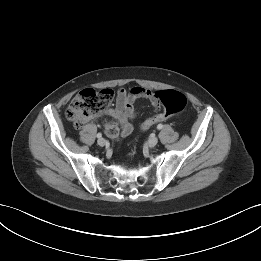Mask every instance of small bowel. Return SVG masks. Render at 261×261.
Wrapping results in <instances>:
<instances>
[{
  "mask_svg": "<svg viewBox=\"0 0 261 261\" xmlns=\"http://www.w3.org/2000/svg\"><path fill=\"white\" fill-rule=\"evenodd\" d=\"M140 98L148 99L156 108L160 105L157 93L151 90L142 87H133L128 91L125 89L118 90L115 107L109 109L106 113L120 123L119 135L125 137L132 133L131 120L136 117L134 103Z\"/></svg>",
  "mask_w": 261,
  "mask_h": 261,
  "instance_id": "c3829d8e",
  "label": "small bowel"
}]
</instances>
